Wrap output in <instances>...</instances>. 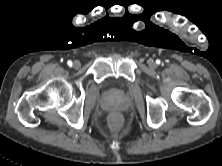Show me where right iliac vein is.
I'll list each match as a JSON object with an SVG mask.
<instances>
[{"instance_id": "63e3f726", "label": "right iliac vein", "mask_w": 222, "mask_h": 166, "mask_svg": "<svg viewBox=\"0 0 222 166\" xmlns=\"http://www.w3.org/2000/svg\"><path fill=\"white\" fill-rule=\"evenodd\" d=\"M74 68L78 69L81 66V63L79 61H74L73 63Z\"/></svg>"}]
</instances>
